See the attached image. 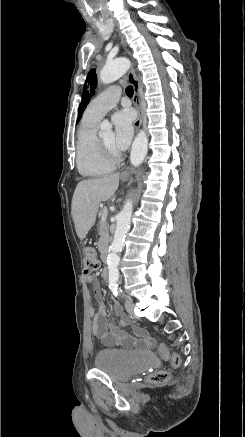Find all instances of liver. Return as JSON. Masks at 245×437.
Masks as SVG:
<instances>
[{
	"mask_svg": "<svg viewBox=\"0 0 245 437\" xmlns=\"http://www.w3.org/2000/svg\"><path fill=\"white\" fill-rule=\"evenodd\" d=\"M119 186V173L80 181L73 194L71 214L80 240L94 226L99 205L107 201Z\"/></svg>",
	"mask_w": 245,
	"mask_h": 437,
	"instance_id": "liver-1",
	"label": "liver"
}]
</instances>
